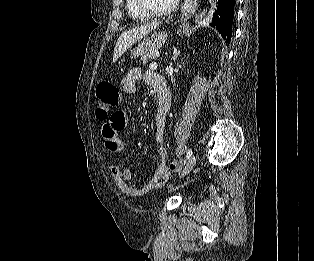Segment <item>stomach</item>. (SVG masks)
<instances>
[{
    "instance_id": "obj_1",
    "label": "stomach",
    "mask_w": 314,
    "mask_h": 261,
    "mask_svg": "<svg viewBox=\"0 0 314 261\" xmlns=\"http://www.w3.org/2000/svg\"><path fill=\"white\" fill-rule=\"evenodd\" d=\"M166 37L167 35L164 32L161 33L154 32L150 34L131 50L133 57L137 58L140 56H144L151 50L160 48L162 43L165 42Z\"/></svg>"
}]
</instances>
